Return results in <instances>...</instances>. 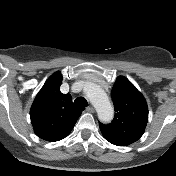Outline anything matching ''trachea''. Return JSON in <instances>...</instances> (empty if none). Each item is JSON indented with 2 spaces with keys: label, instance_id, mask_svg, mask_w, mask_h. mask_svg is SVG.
I'll return each mask as SVG.
<instances>
[{
  "label": "trachea",
  "instance_id": "3493384b",
  "mask_svg": "<svg viewBox=\"0 0 176 176\" xmlns=\"http://www.w3.org/2000/svg\"><path fill=\"white\" fill-rule=\"evenodd\" d=\"M74 103H75L76 105H79V106L88 105L87 100H86L85 98H83V97H79V98L75 99V100H74Z\"/></svg>",
  "mask_w": 176,
  "mask_h": 176
}]
</instances>
